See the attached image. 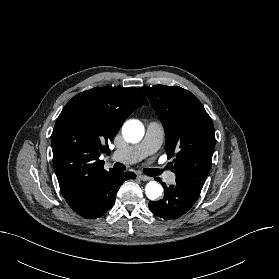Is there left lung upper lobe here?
<instances>
[{
  "label": "left lung upper lobe",
  "instance_id": "left-lung-upper-lobe-1",
  "mask_svg": "<svg viewBox=\"0 0 279 279\" xmlns=\"http://www.w3.org/2000/svg\"><path fill=\"white\" fill-rule=\"evenodd\" d=\"M163 123L169 163L176 183L201 191L215 147L214 126L201 102L179 86L141 87Z\"/></svg>",
  "mask_w": 279,
  "mask_h": 279
}]
</instances>
